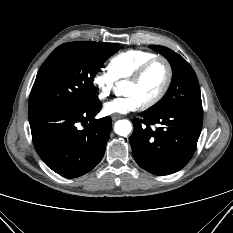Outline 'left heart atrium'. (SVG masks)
I'll return each instance as SVG.
<instances>
[{
    "instance_id": "left-heart-atrium-1",
    "label": "left heart atrium",
    "mask_w": 233,
    "mask_h": 233,
    "mask_svg": "<svg viewBox=\"0 0 233 233\" xmlns=\"http://www.w3.org/2000/svg\"><path fill=\"white\" fill-rule=\"evenodd\" d=\"M142 104L136 95L127 94L106 102L104 104V110L107 114H126L138 110Z\"/></svg>"
}]
</instances>
